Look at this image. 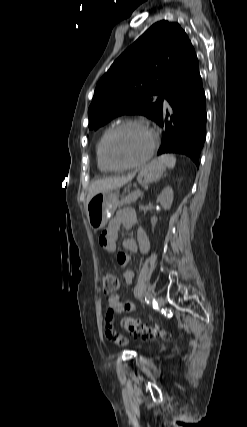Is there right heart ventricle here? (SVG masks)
Wrapping results in <instances>:
<instances>
[{
    "label": "right heart ventricle",
    "mask_w": 247,
    "mask_h": 427,
    "mask_svg": "<svg viewBox=\"0 0 247 427\" xmlns=\"http://www.w3.org/2000/svg\"><path fill=\"white\" fill-rule=\"evenodd\" d=\"M110 129L111 128L106 129L101 134L100 138L97 141L96 147H95V157H96L97 166H98L99 170L103 173H109V172L114 171L106 164V162L103 159V155H102L103 141H104V138L107 135V133L110 131Z\"/></svg>",
    "instance_id": "right-heart-ventricle-1"
}]
</instances>
